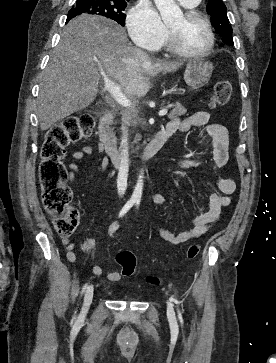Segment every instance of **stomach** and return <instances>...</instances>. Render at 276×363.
<instances>
[{"instance_id":"obj_1","label":"stomach","mask_w":276,"mask_h":363,"mask_svg":"<svg viewBox=\"0 0 276 363\" xmlns=\"http://www.w3.org/2000/svg\"><path fill=\"white\" fill-rule=\"evenodd\" d=\"M212 72L213 65L209 62H189L184 72V80L189 87L196 90L209 82Z\"/></svg>"}]
</instances>
